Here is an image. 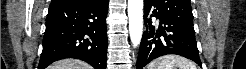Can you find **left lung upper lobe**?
<instances>
[{
  "instance_id": "1",
  "label": "left lung upper lobe",
  "mask_w": 246,
  "mask_h": 69,
  "mask_svg": "<svg viewBox=\"0 0 246 69\" xmlns=\"http://www.w3.org/2000/svg\"><path fill=\"white\" fill-rule=\"evenodd\" d=\"M156 8L170 18L193 25L190 0H152Z\"/></svg>"
}]
</instances>
